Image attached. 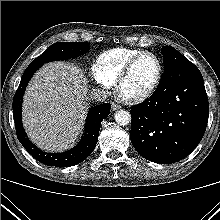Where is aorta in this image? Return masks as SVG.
<instances>
[{"label":"aorta","mask_w":220,"mask_h":220,"mask_svg":"<svg viewBox=\"0 0 220 220\" xmlns=\"http://www.w3.org/2000/svg\"><path fill=\"white\" fill-rule=\"evenodd\" d=\"M115 121L120 126L128 125L131 122V115L126 110H119L115 113Z\"/></svg>","instance_id":"aorta-1"}]
</instances>
